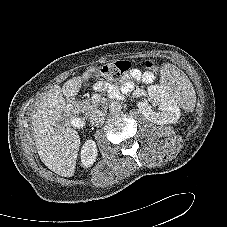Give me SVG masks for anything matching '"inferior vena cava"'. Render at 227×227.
<instances>
[{
  "mask_svg": "<svg viewBox=\"0 0 227 227\" xmlns=\"http://www.w3.org/2000/svg\"><path fill=\"white\" fill-rule=\"evenodd\" d=\"M90 123L94 126H99L104 123L105 114L103 111L96 110L92 114H90Z\"/></svg>",
  "mask_w": 227,
  "mask_h": 227,
  "instance_id": "inferior-vena-cava-1",
  "label": "inferior vena cava"
}]
</instances>
